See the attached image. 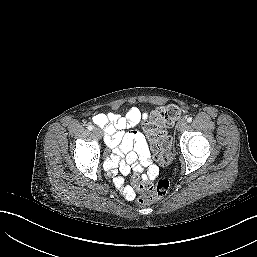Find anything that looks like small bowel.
Listing matches in <instances>:
<instances>
[{
  "instance_id": "c3829d8e",
  "label": "small bowel",
  "mask_w": 257,
  "mask_h": 257,
  "mask_svg": "<svg viewBox=\"0 0 257 257\" xmlns=\"http://www.w3.org/2000/svg\"><path fill=\"white\" fill-rule=\"evenodd\" d=\"M147 117L148 114L137 107L129 108L124 115L109 112L98 113L92 117L93 123L103 129L105 142L113 151L106 159L104 167L114 177V183L123 196L130 200L135 194L124 182L131 170L143 172L142 178L145 180L155 178L158 172L143 134L136 130L127 131Z\"/></svg>"
}]
</instances>
